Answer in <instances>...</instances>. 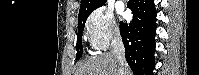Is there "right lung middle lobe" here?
<instances>
[{"label": "right lung middle lobe", "instance_id": "dd1d6c3e", "mask_svg": "<svg viewBox=\"0 0 199 75\" xmlns=\"http://www.w3.org/2000/svg\"><path fill=\"white\" fill-rule=\"evenodd\" d=\"M90 13L82 15V16L79 17L78 34H77V46H76V49H77L76 58L77 59L80 58L82 56V53H83V50H82V33H83L85 22H86L88 16L90 15Z\"/></svg>", "mask_w": 199, "mask_h": 75}]
</instances>
